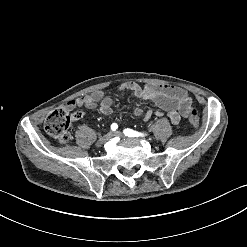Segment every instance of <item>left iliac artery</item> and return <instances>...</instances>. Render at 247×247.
<instances>
[{"instance_id": "1", "label": "left iliac artery", "mask_w": 247, "mask_h": 247, "mask_svg": "<svg viewBox=\"0 0 247 247\" xmlns=\"http://www.w3.org/2000/svg\"><path fill=\"white\" fill-rule=\"evenodd\" d=\"M123 133L125 134V136H128V137H139V136H144L143 133H140V132H137V131H134L132 129H125L123 131Z\"/></svg>"}]
</instances>
